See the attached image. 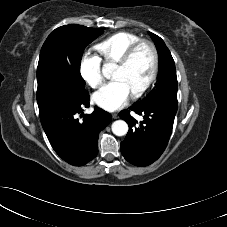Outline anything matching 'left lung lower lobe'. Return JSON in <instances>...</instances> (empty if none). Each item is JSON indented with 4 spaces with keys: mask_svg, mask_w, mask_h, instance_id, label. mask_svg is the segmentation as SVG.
Wrapping results in <instances>:
<instances>
[{
    "mask_svg": "<svg viewBox=\"0 0 227 227\" xmlns=\"http://www.w3.org/2000/svg\"><path fill=\"white\" fill-rule=\"evenodd\" d=\"M132 111L144 120L138 122L132 117ZM176 112L177 106L161 101L133 105L121 111L120 118L129 125L128 134L121 142L123 157L135 166H148L156 161L168 144Z\"/></svg>",
    "mask_w": 227,
    "mask_h": 227,
    "instance_id": "left-lung-lower-lobe-1",
    "label": "left lung lower lobe"
}]
</instances>
